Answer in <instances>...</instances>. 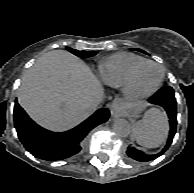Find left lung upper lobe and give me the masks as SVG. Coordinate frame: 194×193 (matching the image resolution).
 <instances>
[{"label":"left lung upper lobe","instance_id":"obj_1","mask_svg":"<svg viewBox=\"0 0 194 193\" xmlns=\"http://www.w3.org/2000/svg\"><path fill=\"white\" fill-rule=\"evenodd\" d=\"M137 50H139V51H141V52H144V51H142V50H140V49H137Z\"/></svg>","mask_w":194,"mask_h":193}]
</instances>
